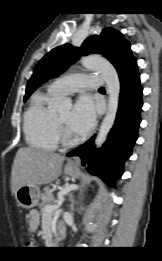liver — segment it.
<instances>
[{"instance_id":"6515ba94","label":"liver","mask_w":162,"mask_h":261,"mask_svg":"<svg viewBox=\"0 0 162 261\" xmlns=\"http://www.w3.org/2000/svg\"><path fill=\"white\" fill-rule=\"evenodd\" d=\"M64 160L65 157L57 153L19 148L11 171L12 195L23 185H44L56 180L61 174Z\"/></svg>"}]
</instances>
